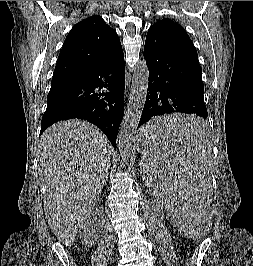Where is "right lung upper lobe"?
I'll return each mask as SVG.
<instances>
[{"label":"right lung upper lobe","instance_id":"obj_1","mask_svg":"<svg viewBox=\"0 0 253 266\" xmlns=\"http://www.w3.org/2000/svg\"><path fill=\"white\" fill-rule=\"evenodd\" d=\"M123 54L119 37L99 15L77 23L58 56L51 86L98 69Z\"/></svg>","mask_w":253,"mask_h":266}]
</instances>
